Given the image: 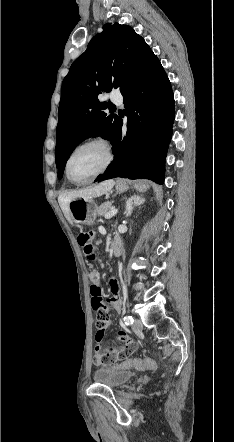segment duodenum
<instances>
[{"instance_id": "1", "label": "duodenum", "mask_w": 234, "mask_h": 442, "mask_svg": "<svg viewBox=\"0 0 234 442\" xmlns=\"http://www.w3.org/2000/svg\"><path fill=\"white\" fill-rule=\"evenodd\" d=\"M109 251H110L111 254H113V255H115V256L120 255L121 252H122V242H121V240L118 239V238L115 239V240L111 243Z\"/></svg>"}]
</instances>
